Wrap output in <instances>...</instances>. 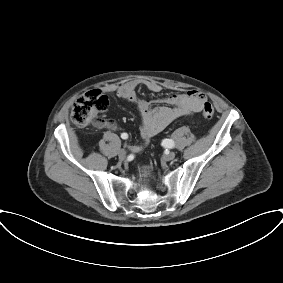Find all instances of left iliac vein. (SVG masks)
I'll list each match as a JSON object with an SVG mask.
<instances>
[{
  "mask_svg": "<svg viewBox=\"0 0 283 283\" xmlns=\"http://www.w3.org/2000/svg\"><path fill=\"white\" fill-rule=\"evenodd\" d=\"M175 156H176L175 152H169L163 156V159L165 161H171L175 158Z\"/></svg>",
  "mask_w": 283,
  "mask_h": 283,
  "instance_id": "4c4485c4",
  "label": "left iliac vein"
}]
</instances>
